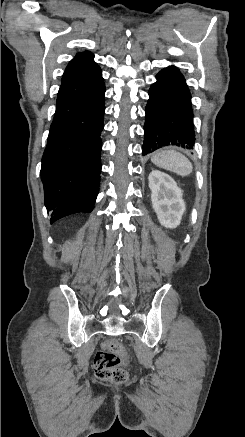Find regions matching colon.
I'll return each instance as SVG.
<instances>
[{
    "instance_id": "1",
    "label": "colon",
    "mask_w": 245,
    "mask_h": 437,
    "mask_svg": "<svg viewBox=\"0 0 245 437\" xmlns=\"http://www.w3.org/2000/svg\"><path fill=\"white\" fill-rule=\"evenodd\" d=\"M128 359L129 353L123 345L113 339L107 340L103 349L95 356V374L100 379L122 384L128 379V373L124 368Z\"/></svg>"
}]
</instances>
